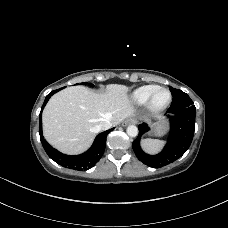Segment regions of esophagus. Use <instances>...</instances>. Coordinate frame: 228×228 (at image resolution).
<instances>
[{
    "mask_svg": "<svg viewBox=\"0 0 228 228\" xmlns=\"http://www.w3.org/2000/svg\"><path fill=\"white\" fill-rule=\"evenodd\" d=\"M137 120L135 118H128L123 123L122 126H127L129 124H136Z\"/></svg>",
    "mask_w": 228,
    "mask_h": 228,
    "instance_id": "esophagus-1",
    "label": "esophagus"
}]
</instances>
